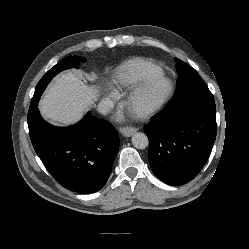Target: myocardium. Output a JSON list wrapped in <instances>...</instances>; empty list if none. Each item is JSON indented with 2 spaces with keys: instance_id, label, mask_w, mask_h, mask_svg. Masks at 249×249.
<instances>
[{
  "instance_id": "myocardium-1",
  "label": "myocardium",
  "mask_w": 249,
  "mask_h": 249,
  "mask_svg": "<svg viewBox=\"0 0 249 249\" xmlns=\"http://www.w3.org/2000/svg\"><path fill=\"white\" fill-rule=\"evenodd\" d=\"M157 87H161L160 94L150 98V93ZM173 93L171 80L164 75L152 77L138 84L129 94L126 104L138 116H148L160 110L170 99Z\"/></svg>"
}]
</instances>
